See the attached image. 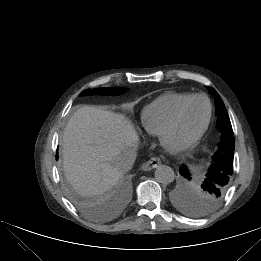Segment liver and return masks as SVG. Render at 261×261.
I'll return each instance as SVG.
<instances>
[{"label":"liver","instance_id":"obj_1","mask_svg":"<svg viewBox=\"0 0 261 261\" xmlns=\"http://www.w3.org/2000/svg\"><path fill=\"white\" fill-rule=\"evenodd\" d=\"M132 124L121 114L93 106L80 107L63 133V168L67 180L83 196L100 195L122 176L117 157L138 145Z\"/></svg>","mask_w":261,"mask_h":261}]
</instances>
